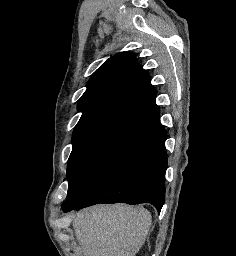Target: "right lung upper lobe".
Listing matches in <instances>:
<instances>
[{
    "instance_id": "1",
    "label": "right lung upper lobe",
    "mask_w": 236,
    "mask_h": 256,
    "mask_svg": "<svg viewBox=\"0 0 236 256\" xmlns=\"http://www.w3.org/2000/svg\"><path fill=\"white\" fill-rule=\"evenodd\" d=\"M155 91L133 53H122L104 62L87 83L78 103L82 123L108 115H123L149 122L160 121Z\"/></svg>"
}]
</instances>
